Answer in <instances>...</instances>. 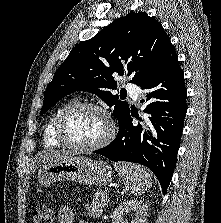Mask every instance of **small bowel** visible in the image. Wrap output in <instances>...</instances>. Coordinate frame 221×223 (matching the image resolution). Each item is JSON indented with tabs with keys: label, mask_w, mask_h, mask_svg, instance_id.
Wrapping results in <instances>:
<instances>
[{
	"label": "small bowel",
	"mask_w": 221,
	"mask_h": 223,
	"mask_svg": "<svg viewBox=\"0 0 221 223\" xmlns=\"http://www.w3.org/2000/svg\"><path fill=\"white\" fill-rule=\"evenodd\" d=\"M58 223H75V217L67 205H62L58 211ZM79 223H86L84 221H80Z\"/></svg>",
	"instance_id": "small-bowel-1"
}]
</instances>
